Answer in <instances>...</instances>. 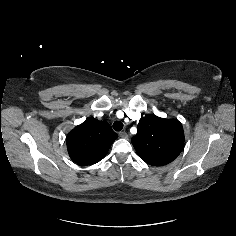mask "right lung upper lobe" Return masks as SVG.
Masks as SVG:
<instances>
[{"label": "right lung upper lobe", "mask_w": 236, "mask_h": 236, "mask_svg": "<svg viewBox=\"0 0 236 236\" xmlns=\"http://www.w3.org/2000/svg\"><path fill=\"white\" fill-rule=\"evenodd\" d=\"M117 137L106 121L87 118L67 135L69 156L83 166L95 164L105 157Z\"/></svg>", "instance_id": "cb5924a9"}]
</instances>
